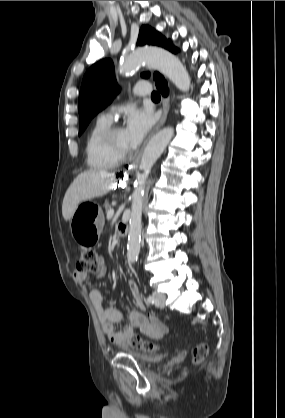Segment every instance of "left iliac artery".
Instances as JSON below:
<instances>
[{"label":"left iliac artery","mask_w":285,"mask_h":418,"mask_svg":"<svg viewBox=\"0 0 285 418\" xmlns=\"http://www.w3.org/2000/svg\"><path fill=\"white\" fill-rule=\"evenodd\" d=\"M146 301H147V303H149V304H154L155 299H154V297H152V296H148V297L146 298Z\"/></svg>","instance_id":"1"}]
</instances>
